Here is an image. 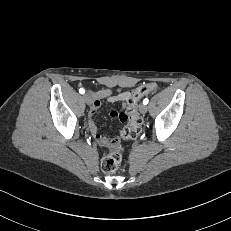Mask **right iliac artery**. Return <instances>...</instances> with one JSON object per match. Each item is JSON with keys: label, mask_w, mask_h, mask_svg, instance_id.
I'll list each match as a JSON object with an SVG mask.
<instances>
[{"label": "right iliac artery", "mask_w": 231, "mask_h": 231, "mask_svg": "<svg viewBox=\"0 0 231 231\" xmlns=\"http://www.w3.org/2000/svg\"><path fill=\"white\" fill-rule=\"evenodd\" d=\"M79 92H80L81 94H84V93H85V90H84L83 88H81V89H79Z\"/></svg>", "instance_id": "1"}]
</instances>
